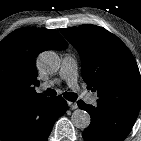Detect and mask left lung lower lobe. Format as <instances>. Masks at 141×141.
I'll list each match as a JSON object with an SVG mask.
<instances>
[{
  "label": "left lung lower lobe",
  "mask_w": 141,
  "mask_h": 141,
  "mask_svg": "<svg viewBox=\"0 0 141 141\" xmlns=\"http://www.w3.org/2000/svg\"><path fill=\"white\" fill-rule=\"evenodd\" d=\"M80 109L91 115V123L83 132L86 141H123L129 134L138 114L135 109H115L78 101Z\"/></svg>",
  "instance_id": "left-lung-lower-lobe-1"
}]
</instances>
